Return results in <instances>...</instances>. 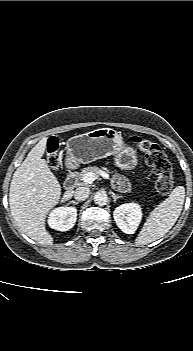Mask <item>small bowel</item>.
Wrapping results in <instances>:
<instances>
[{"label": "small bowel", "mask_w": 193, "mask_h": 351, "mask_svg": "<svg viewBox=\"0 0 193 351\" xmlns=\"http://www.w3.org/2000/svg\"><path fill=\"white\" fill-rule=\"evenodd\" d=\"M121 181V183L124 185V182L122 181V180H120Z\"/></svg>", "instance_id": "small-bowel-1"}]
</instances>
